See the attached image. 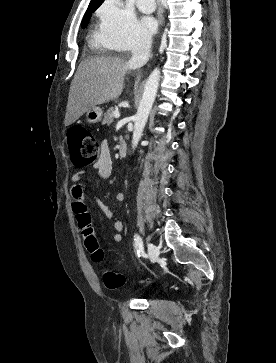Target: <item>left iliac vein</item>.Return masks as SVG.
Listing matches in <instances>:
<instances>
[{"label":"left iliac vein","instance_id":"4c4485c4","mask_svg":"<svg viewBox=\"0 0 276 363\" xmlns=\"http://www.w3.org/2000/svg\"><path fill=\"white\" fill-rule=\"evenodd\" d=\"M147 247H148V254H149L151 262H155L159 256V250H158L157 246L152 243H148Z\"/></svg>","mask_w":276,"mask_h":363}]
</instances>
